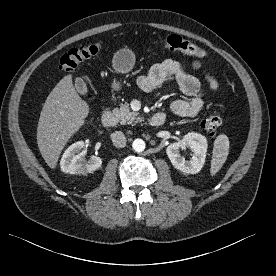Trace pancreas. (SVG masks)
I'll use <instances>...</instances> for the list:
<instances>
[{
  "label": "pancreas",
  "instance_id": "1",
  "mask_svg": "<svg viewBox=\"0 0 276 276\" xmlns=\"http://www.w3.org/2000/svg\"><path fill=\"white\" fill-rule=\"evenodd\" d=\"M114 114L119 118L121 124L131 125L141 121L138 113L130 110L128 103H125L119 109H114Z\"/></svg>",
  "mask_w": 276,
  "mask_h": 276
}]
</instances>
